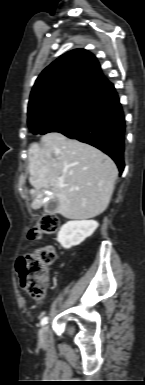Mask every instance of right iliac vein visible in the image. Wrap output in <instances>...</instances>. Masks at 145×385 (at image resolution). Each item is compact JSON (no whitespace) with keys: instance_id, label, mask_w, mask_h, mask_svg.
I'll return each mask as SVG.
<instances>
[{"instance_id":"obj_1","label":"right iliac vein","mask_w":145,"mask_h":385,"mask_svg":"<svg viewBox=\"0 0 145 385\" xmlns=\"http://www.w3.org/2000/svg\"><path fill=\"white\" fill-rule=\"evenodd\" d=\"M48 336V326H43L39 331V340L45 342Z\"/></svg>"}]
</instances>
